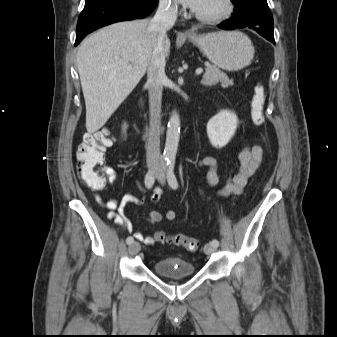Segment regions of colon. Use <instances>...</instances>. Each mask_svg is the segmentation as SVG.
I'll use <instances>...</instances> for the list:
<instances>
[{"label":"colon","instance_id":"1","mask_svg":"<svg viewBox=\"0 0 337 337\" xmlns=\"http://www.w3.org/2000/svg\"><path fill=\"white\" fill-rule=\"evenodd\" d=\"M266 93L264 86L256 83L253 87L251 100V114L255 124L262 125L264 119V104ZM113 143V137L109 131H97L86 133L82 137L76 152L78 170L81 178L92 189L98 190L106 185V174L104 172L105 151ZM157 241L181 246L188 251H196L199 247L197 238L177 233L168 236L164 231L155 233Z\"/></svg>","mask_w":337,"mask_h":337}]
</instances>
